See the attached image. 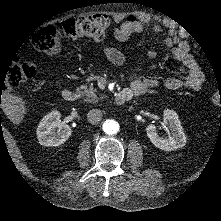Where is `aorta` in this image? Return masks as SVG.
Here are the masks:
<instances>
[{"label": "aorta", "instance_id": "obj_1", "mask_svg": "<svg viewBox=\"0 0 221 221\" xmlns=\"http://www.w3.org/2000/svg\"><path fill=\"white\" fill-rule=\"evenodd\" d=\"M119 128V123L113 119H108L103 123V131L109 135L116 134Z\"/></svg>", "mask_w": 221, "mask_h": 221}]
</instances>
